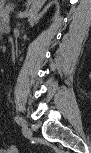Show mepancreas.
<instances>
[{
	"mask_svg": "<svg viewBox=\"0 0 91 153\" xmlns=\"http://www.w3.org/2000/svg\"><path fill=\"white\" fill-rule=\"evenodd\" d=\"M12 8L7 6L4 10L1 11V22L2 24L8 23L9 21V11Z\"/></svg>",
	"mask_w": 91,
	"mask_h": 153,
	"instance_id": "pancreas-1",
	"label": "pancreas"
}]
</instances>
